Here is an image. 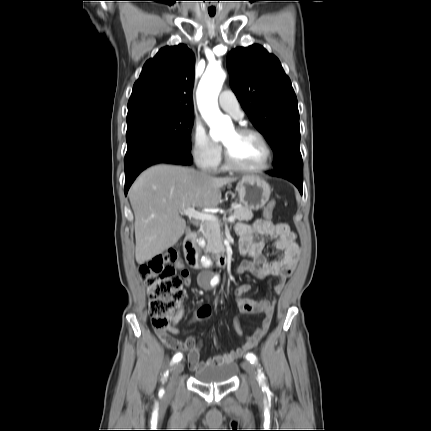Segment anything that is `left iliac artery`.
Listing matches in <instances>:
<instances>
[{
  "mask_svg": "<svg viewBox=\"0 0 431 431\" xmlns=\"http://www.w3.org/2000/svg\"><path fill=\"white\" fill-rule=\"evenodd\" d=\"M246 359L249 360L252 364L257 362V358L253 353H249L246 355ZM263 374H261L259 376V379L262 380L263 379Z\"/></svg>",
  "mask_w": 431,
  "mask_h": 431,
  "instance_id": "44dca946",
  "label": "left iliac artery"
}]
</instances>
